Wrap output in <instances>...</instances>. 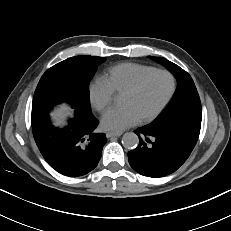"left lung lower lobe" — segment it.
Returning <instances> with one entry per match:
<instances>
[{"instance_id": "left-lung-lower-lobe-1", "label": "left lung lower lobe", "mask_w": 231, "mask_h": 231, "mask_svg": "<svg viewBox=\"0 0 231 231\" xmlns=\"http://www.w3.org/2000/svg\"><path fill=\"white\" fill-rule=\"evenodd\" d=\"M201 125L177 123L139 128V145L128 153L131 167L148 177H164L187 160L199 137Z\"/></svg>"}]
</instances>
